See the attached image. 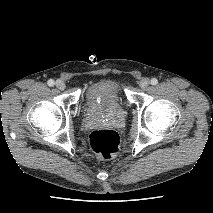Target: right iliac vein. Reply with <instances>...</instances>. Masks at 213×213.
I'll list each match as a JSON object with an SVG mask.
<instances>
[{"label":"right iliac vein","mask_w":213,"mask_h":213,"mask_svg":"<svg viewBox=\"0 0 213 213\" xmlns=\"http://www.w3.org/2000/svg\"><path fill=\"white\" fill-rule=\"evenodd\" d=\"M56 87L60 90H64L66 88V85H65L64 81L57 80L56 81Z\"/></svg>","instance_id":"1"}]
</instances>
